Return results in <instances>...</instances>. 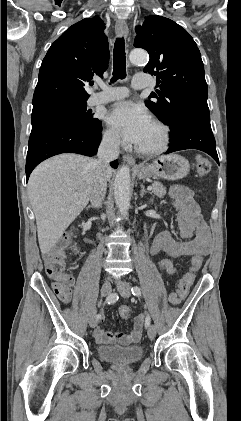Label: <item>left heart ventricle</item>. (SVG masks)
Listing matches in <instances>:
<instances>
[{
  "label": "left heart ventricle",
  "mask_w": 241,
  "mask_h": 421,
  "mask_svg": "<svg viewBox=\"0 0 241 421\" xmlns=\"http://www.w3.org/2000/svg\"><path fill=\"white\" fill-rule=\"evenodd\" d=\"M159 142L160 132L153 124H151L138 146L142 148H152L158 145Z\"/></svg>",
  "instance_id": "left-heart-ventricle-1"
}]
</instances>
